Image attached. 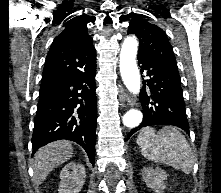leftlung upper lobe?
Returning <instances> with one entry per match:
<instances>
[{"label":"left lung upper lobe","instance_id":"1","mask_svg":"<svg viewBox=\"0 0 221 193\" xmlns=\"http://www.w3.org/2000/svg\"><path fill=\"white\" fill-rule=\"evenodd\" d=\"M128 33L140 39L138 54L177 67L172 46L161 28L142 16H134L129 23Z\"/></svg>","mask_w":221,"mask_h":193}]
</instances>
